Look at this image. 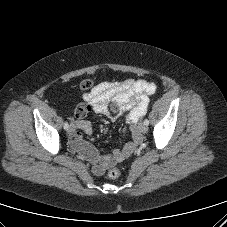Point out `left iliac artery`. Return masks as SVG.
<instances>
[{"mask_svg": "<svg viewBox=\"0 0 227 227\" xmlns=\"http://www.w3.org/2000/svg\"><path fill=\"white\" fill-rule=\"evenodd\" d=\"M144 124L149 125V120L148 119H145L144 120Z\"/></svg>", "mask_w": 227, "mask_h": 227, "instance_id": "1", "label": "left iliac artery"}]
</instances>
